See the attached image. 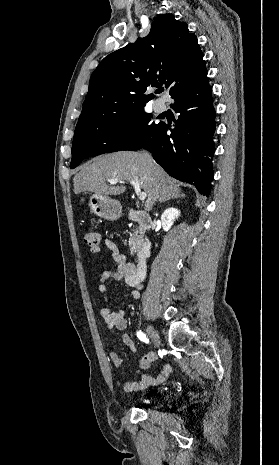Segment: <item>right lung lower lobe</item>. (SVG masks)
Here are the masks:
<instances>
[{
    "mask_svg": "<svg viewBox=\"0 0 279 465\" xmlns=\"http://www.w3.org/2000/svg\"><path fill=\"white\" fill-rule=\"evenodd\" d=\"M172 98L175 102L171 107L180 115L171 135H167L169 125L163 123L149 142L125 150L144 148L150 151L170 176L194 185L201 194L208 196L214 175L212 159L216 127L212 88L207 75L183 87Z\"/></svg>",
    "mask_w": 279,
    "mask_h": 465,
    "instance_id": "1",
    "label": "right lung lower lobe"
}]
</instances>
